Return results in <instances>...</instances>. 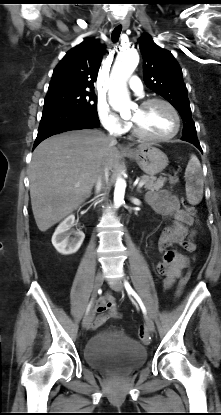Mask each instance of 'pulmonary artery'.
Listing matches in <instances>:
<instances>
[{
	"label": "pulmonary artery",
	"instance_id": "e3ab8cb5",
	"mask_svg": "<svg viewBox=\"0 0 221 415\" xmlns=\"http://www.w3.org/2000/svg\"><path fill=\"white\" fill-rule=\"evenodd\" d=\"M129 85L131 89L138 95L143 94V85H142L141 80L137 76H132L129 79Z\"/></svg>",
	"mask_w": 221,
	"mask_h": 415
}]
</instances>
